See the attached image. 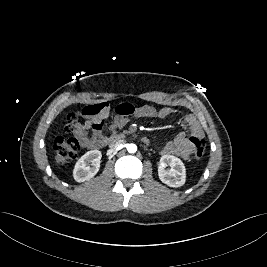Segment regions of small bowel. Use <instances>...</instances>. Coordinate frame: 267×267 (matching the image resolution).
<instances>
[{
    "instance_id": "1",
    "label": "small bowel",
    "mask_w": 267,
    "mask_h": 267,
    "mask_svg": "<svg viewBox=\"0 0 267 267\" xmlns=\"http://www.w3.org/2000/svg\"><path fill=\"white\" fill-rule=\"evenodd\" d=\"M83 122H77L74 126V134L81 145L88 149H98L107 143V136L103 130L104 121L110 113V106L107 103H97L86 106ZM117 116L111 126V130H117L126 125L130 117L137 118H167L174 114L171 107H163L157 110L152 105H142L135 107L130 103H121L115 107ZM186 131L180 132L172 141L166 143L161 150L163 155H174L182 159H189L194 151L193 138L202 139L204 132L196 120L189 112L183 115ZM92 131V135L89 132Z\"/></svg>"
}]
</instances>
